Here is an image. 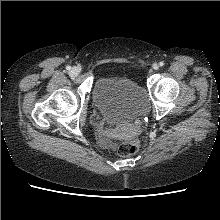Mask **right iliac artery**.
Instances as JSON below:
<instances>
[{
    "instance_id": "obj_1",
    "label": "right iliac artery",
    "mask_w": 220,
    "mask_h": 220,
    "mask_svg": "<svg viewBox=\"0 0 220 220\" xmlns=\"http://www.w3.org/2000/svg\"><path fill=\"white\" fill-rule=\"evenodd\" d=\"M66 69H67V70H70V69H71V67H70V66H67V67H66Z\"/></svg>"
}]
</instances>
